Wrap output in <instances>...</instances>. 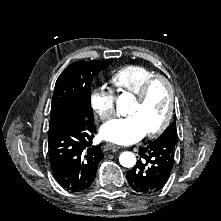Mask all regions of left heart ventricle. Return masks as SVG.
Here are the masks:
<instances>
[{
    "instance_id": "obj_1",
    "label": "left heart ventricle",
    "mask_w": 221,
    "mask_h": 221,
    "mask_svg": "<svg viewBox=\"0 0 221 221\" xmlns=\"http://www.w3.org/2000/svg\"><path fill=\"white\" fill-rule=\"evenodd\" d=\"M168 102L166 86L158 83L152 88L143 104L138 105L133 101L127 110V116L135 118L146 134L162 123L167 113Z\"/></svg>"
}]
</instances>
